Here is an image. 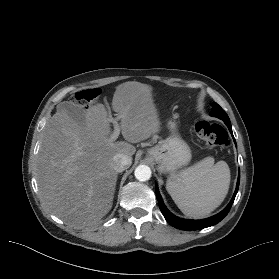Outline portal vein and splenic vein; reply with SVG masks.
Segmentation results:
<instances>
[{
	"instance_id": "18ae733b",
	"label": "portal vein and splenic vein",
	"mask_w": 279,
	"mask_h": 279,
	"mask_svg": "<svg viewBox=\"0 0 279 279\" xmlns=\"http://www.w3.org/2000/svg\"><path fill=\"white\" fill-rule=\"evenodd\" d=\"M112 122L114 124V131H113V133L110 136V141L113 142V141H115L118 138V136L120 134V127H119V125H118L116 120H112Z\"/></svg>"
}]
</instances>
